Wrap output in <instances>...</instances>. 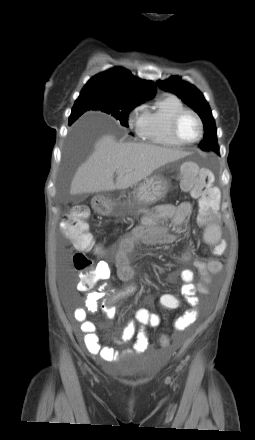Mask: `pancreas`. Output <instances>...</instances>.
<instances>
[{
    "mask_svg": "<svg viewBox=\"0 0 255 440\" xmlns=\"http://www.w3.org/2000/svg\"><path fill=\"white\" fill-rule=\"evenodd\" d=\"M138 213H148V209H146L145 207H141L139 208Z\"/></svg>",
    "mask_w": 255,
    "mask_h": 440,
    "instance_id": "cf45deb5",
    "label": "pancreas"
}]
</instances>
